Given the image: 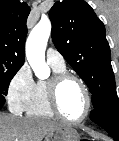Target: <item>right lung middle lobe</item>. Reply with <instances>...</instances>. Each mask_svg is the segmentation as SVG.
<instances>
[{
	"instance_id": "right-lung-middle-lobe-1",
	"label": "right lung middle lobe",
	"mask_w": 119,
	"mask_h": 141,
	"mask_svg": "<svg viewBox=\"0 0 119 141\" xmlns=\"http://www.w3.org/2000/svg\"><path fill=\"white\" fill-rule=\"evenodd\" d=\"M18 70L19 69L0 68V109L5 103V96L8 92L9 83Z\"/></svg>"
}]
</instances>
